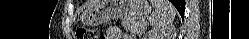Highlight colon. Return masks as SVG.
Masks as SVG:
<instances>
[{
	"label": "colon",
	"instance_id": "colon-1",
	"mask_svg": "<svg viewBox=\"0 0 249 39\" xmlns=\"http://www.w3.org/2000/svg\"><path fill=\"white\" fill-rule=\"evenodd\" d=\"M76 34L79 39H95L96 38L95 32L86 25H82L78 27Z\"/></svg>",
	"mask_w": 249,
	"mask_h": 39
}]
</instances>
